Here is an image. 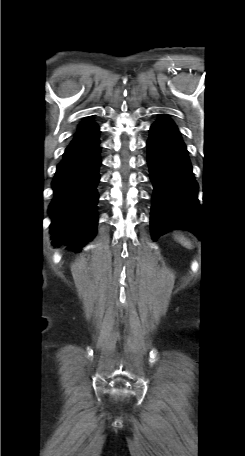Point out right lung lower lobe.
I'll return each mask as SVG.
<instances>
[{"label":"right lung lower lobe","mask_w":245,"mask_h":456,"mask_svg":"<svg viewBox=\"0 0 245 456\" xmlns=\"http://www.w3.org/2000/svg\"><path fill=\"white\" fill-rule=\"evenodd\" d=\"M99 143L97 134L83 143L69 145L52 182V243L64 244L73 251H79L96 234Z\"/></svg>","instance_id":"right-lung-lower-lobe-1"}]
</instances>
